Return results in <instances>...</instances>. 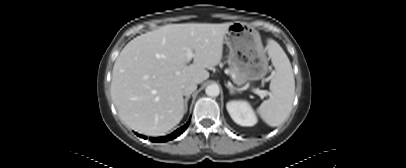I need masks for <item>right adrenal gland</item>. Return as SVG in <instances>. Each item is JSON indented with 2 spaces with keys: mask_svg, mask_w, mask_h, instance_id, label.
Instances as JSON below:
<instances>
[{
  "mask_svg": "<svg viewBox=\"0 0 406 168\" xmlns=\"http://www.w3.org/2000/svg\"><path fill=\"white\" fill-rule=\"evenodd\" d=\"M189 99H190V96H187V97L184 99V113H186L187 110H188V101H189Z\"/></svg>",
  "mask_w": 406,
  "mask_h": 168,
  "instance_id": "right-adrenal-gland-1",
  "label": "right adrenal gland"
}]
</instances>
